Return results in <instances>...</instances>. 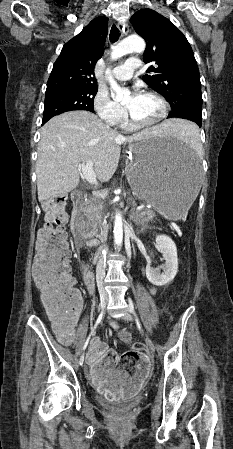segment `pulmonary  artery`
<instances>
[{
  "instance_id": "e3ab8cb5",
  "label": "pulmonary artery",
  "mask_w": 233,
  "mask_h": 449,
  "mask_svg": "<svg viewBox=\"0 0 233 449\" xmlns=\"http://www.w3.org/2000/svg\"><path fill=\"white\" fill-rule=\"evenodd\" d=\"M140 68V62L137 58L127 59L123 64L113 69V76L120 81L128 80L133 73Z\"/></svg>"
}]
</instances>
